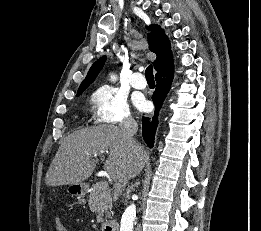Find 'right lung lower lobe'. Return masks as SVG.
<instances>
[{"label": "right lung lower lobe", "instance_id": "right-lung-lower-lobe-1", "mask_svg": "<svg viewBox=\"0 0 261 231\" xmlns=\"http://www.w3.org/2000/svg\"><path fill=\"white\" fill-rule=\"evenodd\" d=\"M174 76V66L169 67L156 74L157 87L152 96L155 105V112L152 118H142V134L145 143L152 148L154 145L155 131L158 125V112L163 104V101L170 90Z\"/></svg>", "mask_w": 261, "mask_h": 231}]
</instances>
